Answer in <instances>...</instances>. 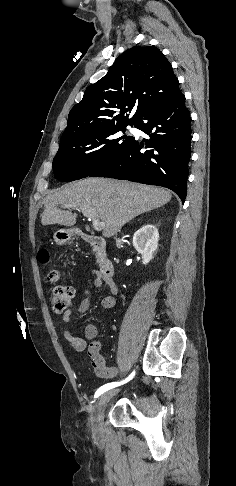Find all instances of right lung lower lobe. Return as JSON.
Returning a JSON list of instances; mask_svg holds the SVG:
<instances>
[{
  "label": "right lung lower lobe",
  "instance_id": "obj_1",
  "mask_svg": "<svg viewBox=\"0 0 236 486\" xmlns=\"http://www.w3.org/2000/svg\"><path fill=\"white\" fill-rule=\"evenodd\" d=\"M190 122L183 94L152 105L134 123L150 139H144V144L134 139L89 176L163 186L173 190L184 202L191 157ZM144 146L147 150L142 153Z\"/></svg>",
  "mask_w": 236,
  "mask_h": 486
}]
</instances>
